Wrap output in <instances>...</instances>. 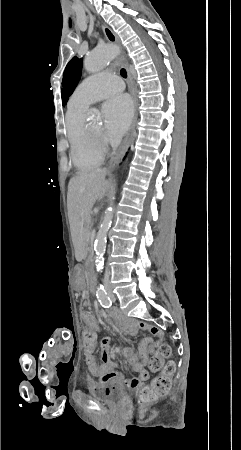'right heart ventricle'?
<instances>
[{"instance_id":"obj_1","label":"right heart ventricle","mask_w":241,"mask_h":450,"mask_svg":"<svg viewBox=\"0 0 241 450\" xmlns=\"http://www.w3.org/2000/svg\"><path fill=\"white\" fill-rule=\"evenodd\" d=\"M88 104L80 101L71 100L65 118V128L70 143L71 157L75 166L79 169L99 166L104 158L99 157V149H82L85 144L79 139L85 134L88 123L84 121V113ZM91 124V123H90ZM87 131V130H86ZM94 145V144H93Z\"/></svg>"}]
</instances>
